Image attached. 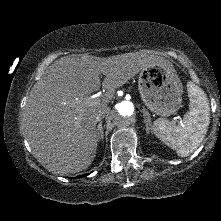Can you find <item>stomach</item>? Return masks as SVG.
<instances>
[{
	"mask_svg": "<svg viewBox=\"0 0 221 221\" xmlns=\"http://www.w3.org/2000/svg\"><path fill=\"white\" fill-rule=\"evenodd\" d=\"M138 89L144 104L157 115L170 116L181 107L183 87L173 67L156 65L143 69Z\"/></svg>",
	"mask_w": 221,
	"mask_h": 221,
	"instance_id": "stomach-1",
	"label": "stomach"
}]
</instances>
